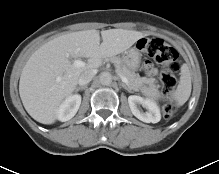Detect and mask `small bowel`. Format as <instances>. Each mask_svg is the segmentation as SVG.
Here are the masks:
<instances>
[{
  "instance_id": "small-bowel-1",
  "label": "small bowel",
  "mask_w": 219,
  "mask_h": 174,
  "mask_svg": "<svg viewBox=\"0 0 219 174\" xmlns=\"http://www.w3.org/2000/svg\"><path fill=\"white\" fill-rule=\"evenodd\" d=\"M144 68L148 76H155L157 74L156 68L150 62H146Z\"/></svg>"
}]
</instances>
